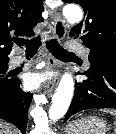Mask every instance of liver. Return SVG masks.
I'll return each mask as SVG.
<instances>
[{
	"label": "liver",
	"mask_w": 116,
	"mask_h": 134,
	"mask_svg": "<svg viewBox=\"0 0 116 134\" xmlns=\"http://www.w3.org/2000/svg\"><path fill=\"white\" fill-rule=\"evenodd\" d=\"M0 134H17L9 124L0 121Z\"/></svg>",
	"instance_id": "obj_1"
}]
</instances>
